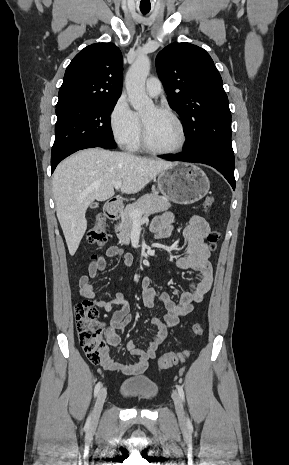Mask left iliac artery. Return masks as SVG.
Listing matches in <instances>:
<instances>
[{
    "instance_id": "left-iliac-artery-1",
    "label": "left iliac artery",
    "mask_w": 289,
    "mask_h": 465,
    "mask_svg": "<svg viewBox=\"0 0 289 465\" xmlns=\"http://www.w3.org/2000/svg\"><path fill=\"white\" fill-rule=\"evenodd\" d=\"M176 388H177V390H178V393H179L180 397H181L182 400L184 401V400H185V394H184V390H183L182 385L177 384V385H176ZM187 422H188L189 425L191 424L189 418H187Z\"/></svg>"
}]
</instances>
